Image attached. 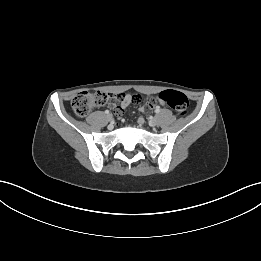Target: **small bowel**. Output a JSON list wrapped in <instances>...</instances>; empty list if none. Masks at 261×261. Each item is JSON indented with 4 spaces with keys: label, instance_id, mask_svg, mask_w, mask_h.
Masks as SVG:
<instances>
[{
    "label": "small bowel",
    "instance_id": "small-bowel-1",
    "mask_svg": "<svg viewBox=\"0 0 261 261\" xmlns=\"http://www.w3.org/2000/svg\"><path fill=\"white\" fill-rule=\"evenodd\" d=\"M155 99L161 104L165 105L164 102L160 101L158 95L155 96ZM120 104H116L115 102L110 104V107L119 113H121L125 108L129 106V104H133L137 107H141L140 111L142 113L146 112L147 109L152 107L153 101L150 97L140 94L138 92L130 94H120Z\"/></svg>",
    "mask_w": 261,
    "mask_h": 261
}]
</instances>
